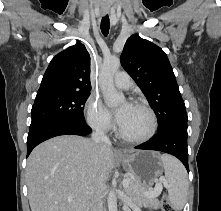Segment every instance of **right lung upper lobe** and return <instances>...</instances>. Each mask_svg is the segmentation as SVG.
I'll return each instance as SVG.
<instances>
[{
	"label": "right lung upper lobe",
	"mask_w": 221,
	"mask_h": 211,
	"mask_svg": "<svg viewBox=\"0 0 221 211\" xmlns=\"http://www.w3.org/2000/svg\"><path fill=\"white\" fill-rule=\"evenodd\" d=\"M90 90V55L77 42L51 60L38 92Z\"/></svg>",
	"instance_id": "1"
}]
</instances>
